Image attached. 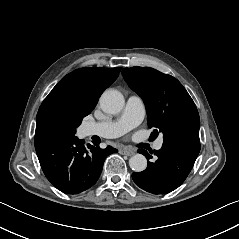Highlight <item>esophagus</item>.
<instances>
[{
	"label": "esophagus",
	"instance_id": "34e87169",
	"mask_svg": "<svg viewBox=\"0 0 239 239\" xmlns=\"http://www.w3.org/2000/svg\"><path fill=\"white\" fill-rule=\"evenodd\" d=\"M121 154L126 155V156H132L135 154L133 150H123L121 151Z\"/></svg>",
	"mask_w": 239,
	"mask_h": 239
}]
</instances>
